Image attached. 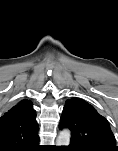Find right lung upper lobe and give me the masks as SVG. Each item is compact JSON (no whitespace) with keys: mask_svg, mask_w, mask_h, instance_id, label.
Listing matches in <instances>:
<instances>
[{"mask_svg":"<svg viewBox=\"0 0 118 151\" xmlns=\"http://www.w3.org/2000/svg\"><path fill=\"white\" fill-rule=\"evenodd\" d=\"M38 142L36 112L22 100L0 118V151H33Z\"/></svg>","mask_w":118,"mask_h":151,"instance_id":"cb5924a9","label":"right lung upper lobe"}]
</instances>
